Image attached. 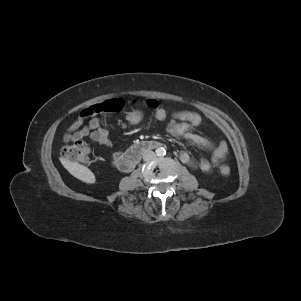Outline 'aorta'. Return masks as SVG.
I'll use <instances>...</instances> for the list:
<instances>
[{"instance_id": "1", "label": "aorta", "mask_w": 301, "mask_h": 301, "mask_svg": "<svg viewBox=\"0 0 301 301\" xmlns=\"http://www.w3.org/2000/svg\"><path fill=\"white\" fill-rule=\"evenodd\" d=\"M156 155L157 156H164L166 154V150L164 147H158L156 150Z\"/></svg>"}]
</instances>
